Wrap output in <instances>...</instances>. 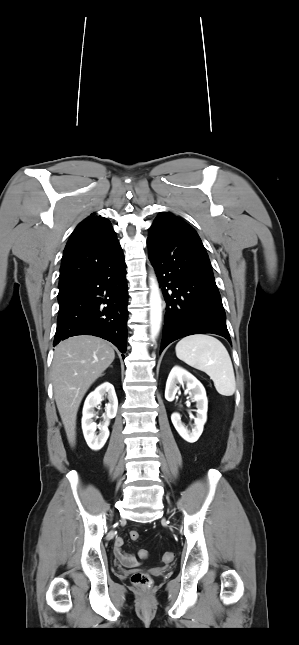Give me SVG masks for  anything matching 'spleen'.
Listing matches in <instances>:
<instances>
[{
	"mask_svg": "<svg viewBox=\"0 0 299 645\" xmlns=\"http://www.w3.org/2000/svg\"><path fill=\"white\" fill-rule=\"evenodd\" d=\"M175 351L180 360L205 372L219 394H234L236 382L231 358L218 339L205 334L190 335L177 343Z\"/></svg>",
	"mask_w": 299,
	"mask_h": 645,
	"instance_id": "spleen-1",
	"label": "spleen"
}]
</instances>
